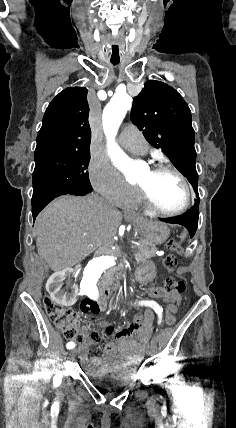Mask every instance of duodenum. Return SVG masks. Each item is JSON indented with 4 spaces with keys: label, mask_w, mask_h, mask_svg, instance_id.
Instances as JSON below:
<instances>
[{
    "label": "duodenum",
    "mask_w": 236,
    "mask_h": 428,
    "mask_svg": "<svg viewBox=\"0 0 236 428\" xmlns=\"http://www.w3.org/2000/svg\"><path fill=\"white\" fill-rule=\"evenodd\" d=\"M96 294L99 299L105 301L113 296L114 289L108 282H102L99 284Z\"/></svg>",
    "instance_id": "obj_1"
}]
</instances>
